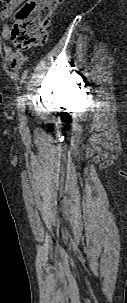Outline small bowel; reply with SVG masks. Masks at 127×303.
<instances>
[{"instance_id":"obj_1","label":"small bowel","mask_w":127,"mask_h":303,"mask_svg":"<svg viewBox=\"0 0 127 303\" xmlns=\"http://www.w3.org/2000/svg\"><path fill=\"white\" fill-rule=\"evenodd\" d=\"M23 0H14V3L5 7L1 12H0V19L2 21L9 20L13 14L14 9L16 6H18L20 3H22ZM10 28L9 26L5 23H1V35L4 39H8L10 37ZM6 61L9 63V65L12 67L14 70L20 69L23 64L26 61V56L25 54L18 49H15L9 45H5L3 47Z\"/></svg>"}]
</instances>
